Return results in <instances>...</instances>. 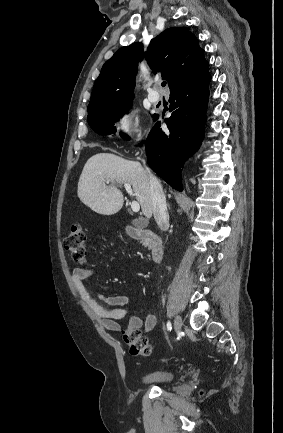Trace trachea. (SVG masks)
Returning <instances> with one entry per match:
<instances>
[{"instance_id":"3493384b","label":"trachea","mask_w":283,"mask_h":433,"mask_svg":"<svg viewBox=\"0 0 283 433\" xmlns=\"http://www.w3.org/2000/svg\"><path fill=\"white\" fill-rule=\"evenodd\" d=\"M165 85H166V82H162L161 86L165 87Z\"/></svg>"}]
</instances>
